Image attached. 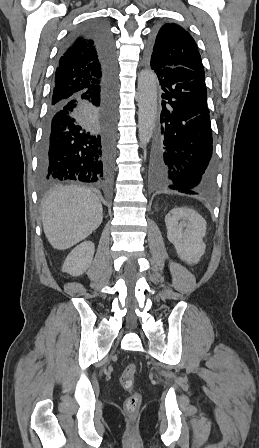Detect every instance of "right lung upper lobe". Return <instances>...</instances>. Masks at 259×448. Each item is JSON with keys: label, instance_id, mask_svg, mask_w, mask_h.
Returning a JSON list of instances; mask_svg holds the SVG:
<instances>
[{"label": "right lung upper lobe", "instance_id": "right-lung-upper-lobe-1", "mask_svg": "<svg viewBox=\"0 0 259 448\" xmlns=\"http://www.w3.org/2000/svg\"><path fill=\"white\" fill-rule=\"evenodd\" d=\"M103 68L94 42L78 37L58 61L51 102L56 103L74 94L98 88Z\"/></svg>", "mask_w": 259, "mask_h": 448}]
</instances>
